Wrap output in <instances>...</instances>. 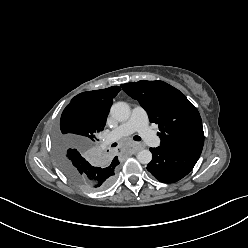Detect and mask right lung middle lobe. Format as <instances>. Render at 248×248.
Segmentation results:
<instances>
[{
  "mask_svg": "<svg viewBox=\"0 0 248 248\" xmlns=\"http://www.w3.org/2000/svg\"><path fill=\"white\" fill-rule=\"evenodd\" d=\"M102 127L80 103H70L63 111L60 128L55 133V146L62 171L74 183L88 191H101L114 181L116 165L104 157H94L92 147ZM78 148L77 163L68 155Z\"/></svg>",
  "mask_w": 248,
  "mask_h": 248,
  "instance_id": "1",
  "label": "right lung middle lobe"
}]
</instances>
